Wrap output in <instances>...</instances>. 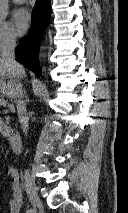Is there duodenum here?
<instances>
[{"mask_svg":"<svg viewBox=\"0 0 128 213\" xmlns=\"http://www.w3.org/2000/svg\"><path fill=\"white\" fill-rule=\"evenodd\" d=\"M8 140L11 146V149L14 153H18L21 149V135L17 130H10L8 133Z\"/></svg>","mask_w":128,"mask_h":213,"instance_id":"1","label":"duodenum"}]
</instances>
